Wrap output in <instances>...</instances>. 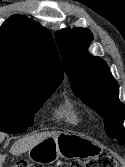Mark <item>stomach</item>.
<instances>
[{
    "label": "stomach",
    "instance_id": "1",
    "mask_svg": "<svg viewBox=\"0 0 125 167\" xmlns=\"http://www.w3.org/2000/svg\"><path fill=\"white\" fill-rule=\"evenodd\" d=\"M102 152L99 144L80 133L61 132L41 141L28 151L30 160L36 163H53L59 158L97 156Z\"/></svg>",
    "mask_w": 125,
    "mask_h": 167
}]
</instances>
